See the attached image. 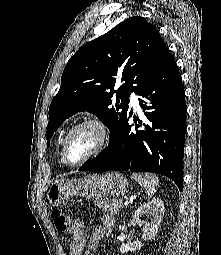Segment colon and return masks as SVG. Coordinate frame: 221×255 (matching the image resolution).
I'll use <instances>...</instances> for the list:
<instances>
[{
	"label": "colon",
	"instance_id": "1",
	"mask_svg": "<svg viewBox=\"0 0 221 255\" xmlns=\"http://www.w3.org/2000/svg\"><path fill=\"white\" fill-rule=\"evenodd\" d=\"M52 220L55 228L60 232H69L74 234L81 231L80 222L69 219L60 210L52 211Z\"/></svg>",
	"mask_w": 221,
	"mask_h": 255
}]
</instances>
